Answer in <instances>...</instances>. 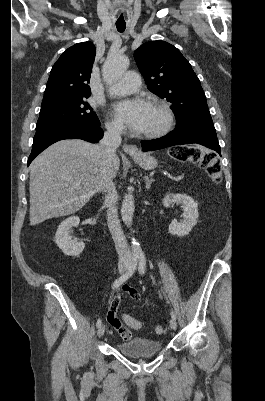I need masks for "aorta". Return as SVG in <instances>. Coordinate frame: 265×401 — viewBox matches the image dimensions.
<instances>
[{"label": "aorta", "instance_id": "762f6f07", "mask_svg": "<svg viewBox=\"0 0 265 401\" xmlns=\"http://www.w3.org/2000/svg\"><path fill=\"white\" fill-rule=\"evenodd\" d=\"M128 66L129 60L128 58H123V56H119L117 60H110V58H107L102 66L104 80H106L108 84L115 82V80L120 78L122 72L127 70ZM134 209V196L132 192H128L123 198L121 207L123 223H125L127 227H131L132 225ZM131 247L132 255H143V251L135 239H132Z\"/></svg>", "mask_w": 265, "mask_h": 401}]
</instances>
